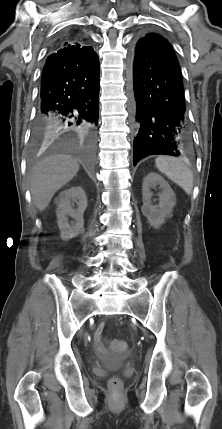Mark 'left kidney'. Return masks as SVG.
Listing matches in <instances>:
<instances>
[{
  "label": "left kidney",
  "instance_id": "left-kidney-1",
  "mask_svg": "<svg viewBox=\"0 0 222 429\" xmlns=\"http://www.w3.org/2000/svg\"><path fill=\"white\" fill-rule=\"evenodd\" d=\"M159 185L162 192L159 194V204H151L152 193L150 188ZM143 206L142 213L148 219L149 224L159 228L167 217L171 215L176 203V197L170 185L158 174L150 172L143 181L142 186Z\"/></svg>",
  "mask_w": 222,
  "mask_h": 429
}]
</instances>
